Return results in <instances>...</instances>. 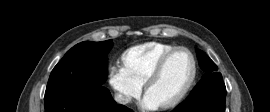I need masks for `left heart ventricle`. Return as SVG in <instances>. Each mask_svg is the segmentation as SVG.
<instances>
[{"mask_svg": "<svg viewBox=\"0 0 270 112\" xmlns=\"http://www.w3.org/2000/svg\"><path fill=\"white\" fill-rule=\"evenodd\" d=\"M192 73L190 56L183 51L174 54L164 67L159 78L148 88L147 93L161 105L176 97L187 84Z\"/></svg>", "mask_w": 270, "mask_h": 112, "instance_id": "obj_1", "label": "left heart ventricle"}]
</instances>
